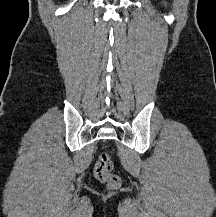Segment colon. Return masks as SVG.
<instances>
[{"mask_svg":"<svg viewBox=\"0 0 216 217\" xmlns=\"http://www.w3.org/2000/svg\"><path fill=\"white\" fill-rule=\"evenodd\" d=\"M112 162L107 153H102L98 157L94 174L98 181L106 184L109 188H116L120 185V178L112 172Z\"/></svg>","mask_w":216,"mask_h":217,"instance_id":"colon-1","label":"colon"}]
</instances>
